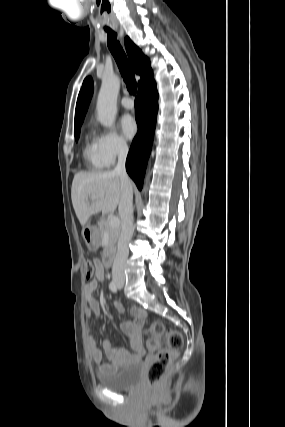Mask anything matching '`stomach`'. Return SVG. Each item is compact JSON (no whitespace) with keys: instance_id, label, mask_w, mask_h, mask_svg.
<instances>
[{"instance_id":"obj_1","label":"stomach","mask_w":285,"mask_h":427,"mask_svg":"<svg viewBox=\"0 0 285 427\" xmlns=\"http://www.w3.org/2000/svg\"><path fill=\"white\" fill-rule=\"evenodd\" d=\"M82 236L89 249L96 250L99 247L101 243V238H100L97 227L87 226L83 228Z\"/></svg>"}]
</instances>
